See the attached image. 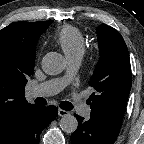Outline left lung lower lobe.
I'll list each match as a JSON object with an SVG mask.
<instances>
[{
  "label": "left lung lower lobe",
  "instance_id": "left-lung-lower-lobe-1",
  "mask_svg": "<svg viewBox=\"0 0 144 144\" xmlns=\"http://www.w3.org/2000/svg\"><path fill=\"white\" fill-rule=\"evenodd\" d=\"M78 128L71 135L72 144H113L120 130L107 127L92 118L76 116Z\"/></svg>",
  "mask_w": 144,
  "mask_h": 144
}]
</instances>
